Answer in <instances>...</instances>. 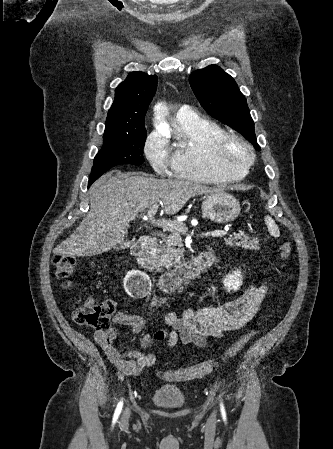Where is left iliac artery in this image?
Listing matches in <instances>:
<instances>
[{
    "label": "left iliac artery",
    "mask_w": 333,
    "mask_h": 449,
    "mask_svg": "<svg viewBox=\"0 0 333 449\" xmlns=\"http://www.w3.org/2000/svg\"><path fill=\"white\" fill-rule=\"evenodd\" d=\"M221 412H222L223 417L225 418L226 417V413H225V409H224V406H223L222 403H221Z\"/></svg>",
    "instance_id": "1"
}]
</instances>
